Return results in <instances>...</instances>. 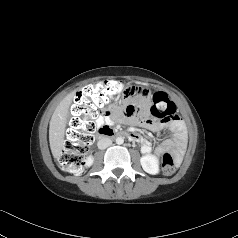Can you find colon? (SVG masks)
I'll use <instances>...</instances> for the list:
<instances>
[{
	"label": "colon",
	"instance_id": "colon-1",
	"mask_svg": "<svg viewBox=\"0 0 238 238\" xmlns=\"http://www.w3.org/2000/svg\"><path fill=\"white\" fill-rule=\"evenodd\" d=\"M122 92L123 86L120 82L108 80L85 86L76 94L71 108L70 128L59 159L63 171L70 174L82 172L85 156L93 143L94 132L97 129L94 119L106 103ZM150 115L155 121L173 120L176 118V106L167 94L157 92L153 95ZM175 169V157L171 152H165L162 156L163 173L170 175Z\"/></svg>",
	"mask_w": 238,
	"mask_h": 238
}]
</instances>
